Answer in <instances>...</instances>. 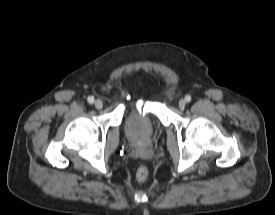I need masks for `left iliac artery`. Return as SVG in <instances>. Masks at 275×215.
Here are the masks:
<instances>
[{"instance_id": "1", "label": "left iliac artery", "mask_w": 275, "mask_h": 215, "mask_svg": "<svg viewBox=\"0 0 275 215\" xmlns=\"http://www.w3.org/2000/svg\"><path fill=\"white\" fill-rule=\"evenodd\" d=\"M185 101L190 102L191 101V96L190 95L185 96Z\"/></svg>"}]
</instances>
